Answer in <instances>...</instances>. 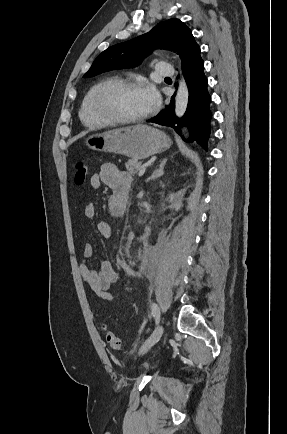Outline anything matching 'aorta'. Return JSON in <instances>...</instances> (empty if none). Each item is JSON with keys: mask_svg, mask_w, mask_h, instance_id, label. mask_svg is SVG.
Returning <instances> with one entry per match:
<instances>
[{"mask_svg": "<svg viewBox=\"0 0 287 434\" xmlns=\"http://www.w3.org/2000/svg\"><path fill=\"white\" fill-rule=\"evenodd\" d=\"M189 99L188 87L183 78L180 79L175 98V115L182 117L187 109Z\"/></svg>", "mask_w": 287, "mask_h": 434, "instance_id": "obj_1", "label": "aorta"}]
</instances>
